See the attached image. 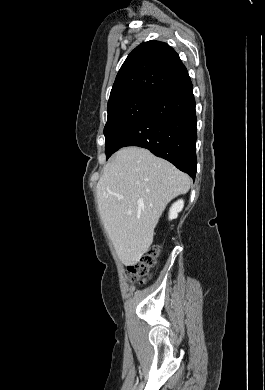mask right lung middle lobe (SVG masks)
Wrapping results in <instances>:
<instances>
[{
    "label": "right lung middle lobe",
    "mask_w": 265,
    "mask_h": 390,
    "mask_svg": "<svg viewBox=\"0 0 265 390\" xmlns=\"http://www.w3.org/2000/svg\"><path fill=\"white\" fill-rule=\"evenodd\" d=\"M154 99L148 95H135L108 105V118L104 127L107 159L116 151V144L123 132Z\"/></svg>",
    "instance_id": "obj_1"
}]
</instances>
